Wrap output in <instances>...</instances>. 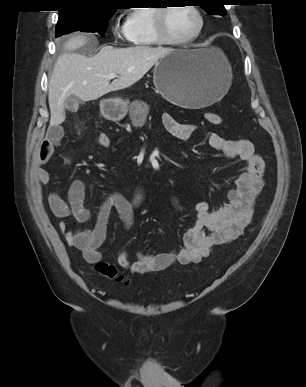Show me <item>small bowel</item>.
<instances>
[{"mask_svg":"<svg viewBox=\"0 0 306 387\" xmlns=\"http://www.w3.org/2000/svg\"><path fill=\"white\" fill-rule=\"evenodd\" d=\"M165 129L175 138L185 141L197 131L193 124L180 123L169 113L162 116ZM63 136L59 125L50 127L47 137L41 143L36 158V176L42 184L50 182V174L44 168L54 153V148ZM207 142L211 148L227 158H240L245 162L244 171L236 180V187L228 192L229 202L223 207L211 211L207 202L195 205V223L183 237L182 246L170 252L159 254L138 253L134 261L128 252L118 255L119 266L132 274L163 271L174 263L186 265L198 263L207 257L212 249L223 246L239 238L251 222L257 196L262 190L264 181V161L255 152L254 145L247 139L228 140L217 133H208ZM85 185L81 180H74L68 189L67 200L52 191L48 203L52 213L65 219L73 217L79 223L90 219L91 213L84 205ZM143 193L137 191L132 200L113 192L101 202L95 226L92 229L71 230L65 221L59 223V230L65 235L69 246L83 252L89 263L101 260L100 247L105 241L112 210H115L125 229L133 224L135 209L142 203Z\"/></svg>","mask_w":306,"mask_h":387,"instance_id":"obj_1","label":"small bowel"}]
</instances>
